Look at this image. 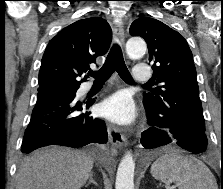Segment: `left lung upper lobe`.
<instances>
[{
	"label": "left lung upper lobe",
	"instance_id": "5c2ea615",
	"mask_svg": "<svg viewBox=\"0 0 223 189\" xmlns=\"http://www.w3.org/2000/svg\"><path fill=\"white\" fill-rule=\"evenodd\" d=\"M132 36L144 38L154 71L151 93H144L143 103L168 127H185L205 132L202 104L192 52L181 34L164 23L148 17L136 19L130 27Z\"/></svg>",
	"mask_w": 223,
	"mask_h": 189
}]
</instances>
